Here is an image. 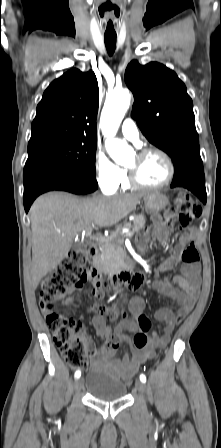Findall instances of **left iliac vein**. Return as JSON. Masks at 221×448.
<instances>
[{"label": "left iliac vein", "mask_w": 221, "mask_h": 448, "mask_svg": "<svg viewBox=\"0 0 221 448\" xmlns=\"http://www.w3.org/2000/svg\"><path fill=\"white\" fill-rule=\"evenodd\" d=\"M135 388H136V390H138L140 393H144L145 390H146L145 384H144L142 381H140V380H137V381L135 382Z\"/></svg>", "instance_id": "left-iliac-vein-1"}]
</instances>
